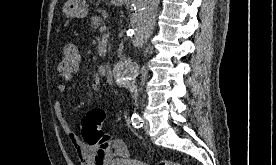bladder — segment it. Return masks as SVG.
<instances>
[{
    "mask_svg": "<svg viewBox=\"0 0 276 165\" xmlns=\"http://www.w3.org/2000/svg\"><path fill=\"white\" fill-rule=\"evenodd\" d=\"M109 165H148V164L134 159L118 158L113 160Z\"/></svg>",
    "mask_w": 276,
    "mask_h": 165,
    "instance_id": "1",
    "label": "bladder"
}]
</instances>
